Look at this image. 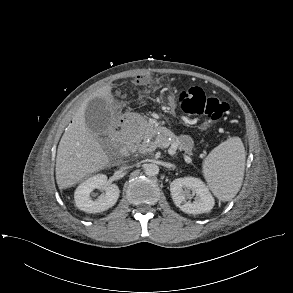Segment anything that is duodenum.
<instances>
[{"mask_svg":"<svg viewBox=\"0 0 293 293\" xmlns=\"http://www.w3.org/2000/svg\"><path fill=\"white\" fill-rule=\"evenodd\" d=\"M123 123H124V119L121 120V126L123 125ZM121 133H122V130H120V131L118 132L119 135H120ZM129 152H130L129 147L124 146V147L122 148V153L128 154Z\"/></svg>","mask_w":293,"mask_h":293,"instance_id":"obj_1","label":"duodenum"}]
</instances>
